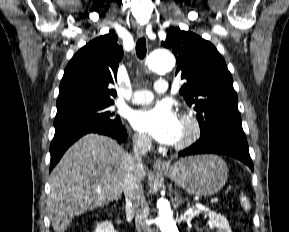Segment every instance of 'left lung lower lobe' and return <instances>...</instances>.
Listing matches in <instances>:
<instances>
[{
    "instance_id": "left-lung-lower-lobe-1",
    "label": "left lung lower lobe",
    "mask_w": 289,
    "mask_h": 232,
    "mask_svg": "<svg viewBox=\"0 0 289 232\" xmlns=\"http://www.w3.org/2000/svg\"><path fill=\"white\" fill-rule=\"evenodd\" d=\"M196 154H223L232 156L250 167L253 163L249 155L248 144L243 131H222L199 139L189 148L180 151L179 156L185 157Z\"/></svg>"
}]
</instances>
